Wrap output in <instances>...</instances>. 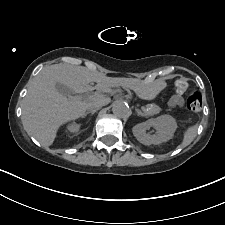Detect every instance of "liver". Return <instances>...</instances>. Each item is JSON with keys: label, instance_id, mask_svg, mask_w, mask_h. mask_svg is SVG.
Wrapping results in <instances>:
<instances>
[{"label": "liver", "instance_id": "1", "mask_svg": "<svg viewBox=\"0 0 225 225\" xmlns=\"http://www.w3.org/2000/svg\"><path fill=\"white\" fill-rule=\"evenodd\" d=\"M96 82L97 88L105 91L115 86L117 81L91 72L82 66L54 64L45 67L29 82L28 92L22 105V122L26 132L37 139L43 146L53 144L60 126L68 121L84 117L89 105L99 96H89L81 100L67 97L56 89L61 83L74 93H84L93 89L90 83ZM145 97V89L138 90ZM104 97V96H102ZM106 98V104L110 99Z\"/></svg>", "mask_w": 225, "mask_h": 225}]
</instances>
